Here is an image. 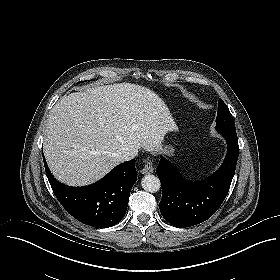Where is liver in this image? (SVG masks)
Here are the masks:
<instances>
[{
  "label": "liver",
  "mask_w": 280,
  "mask_h": 280,
  "mask_svg": "<svg viewBox=\"0 0 280 280\" xmlns=\"http://www.w3.org/2000/svg\"><path fill=\"white\" fill-rule=\"evenodd\" d=\"M176 129L164 101L149 88L119 83L63 96L49 114L44 155L53 175L71 186L94 183L125 152L163 150Z\"/></svg>",
  "instance_id": "obj_1"
}]
</instances>
